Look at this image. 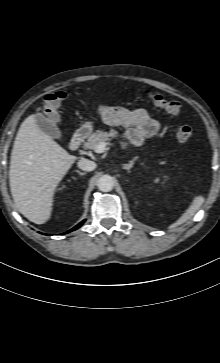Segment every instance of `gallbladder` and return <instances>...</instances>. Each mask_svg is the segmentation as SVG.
I'll use <instances>...</instances> for the list:
<instances>
[{"label": "gallbladder", "mask_w": 220, "mask_h": 363, "mask_svg": "<svg viewBox=\"0 0 220 363\" xmlns=\"http://www.w3.org/2000/svg\"><path fill=\"white\" fill-rule=\"evenodd\" d=\"M36 122L42 132L55 139L62 138L59 127L41 113L36 114Z\"/></svg>", "instance_id": "bac80fb5"}]
</instances>
